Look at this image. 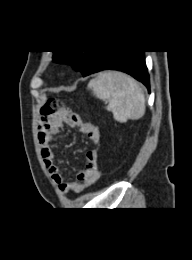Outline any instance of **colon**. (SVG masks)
Here are the masks:
<instances>
[{
  "label": "colon",
  "instance_id": "obj_1",
  "mask_svg": "<svg viewBox=\"0 0 192 260\" xmlns=\"http://www.w3.org/2000/svg\"><path fill=\"white\" fill-rule=\"evenodd\" d=\"M68 109L57 99H49L42 107L41 114L44 119H50L56 116H62Z\"/></svg>",
  "mask_w": 192,
  "mask_h": 260
}]
</instances>
